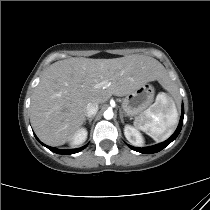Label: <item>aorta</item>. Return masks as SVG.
Wrapping results in <instances>:
<instances>
[{"instance_id": "762f6f07", "label": "aorta", "mask_w": 210, "mask_h": 210, "mask_svg": "<svg viewBox=\"0 0 210 210\" xmlns=\"http://www.w3.org/2000/svg\"><path fill=\"white\" fill-rule=\"evenodd\" d=\"M113 111L112 110H106L105 112H104V118L105 119H107V120H110V119H112L113 118Z\"/></svg>"}]
</instances>
